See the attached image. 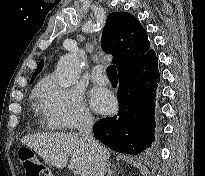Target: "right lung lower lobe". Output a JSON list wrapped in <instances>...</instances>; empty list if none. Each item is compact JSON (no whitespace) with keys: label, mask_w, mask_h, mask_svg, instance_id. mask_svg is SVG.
Segmentation results:
<instances>
[{"label":"right lung lower lobe","mask_w":205,"mask_h":176,"mask_svg":"<svg viewBox=\"0 0 205 176\" xmlns=\"http://www.w3.org/2000/svg\"><path fill=\"white\" fill-rule=\"evenodd\" d=\"M157 60L152 50L118 72L119 112L93 126L95 138L116 152L136 155L154 142Z\"/></svg>","instance_id":"1"}]
</instances>
